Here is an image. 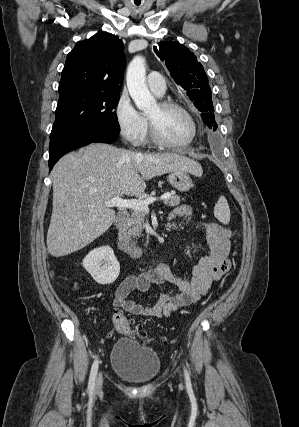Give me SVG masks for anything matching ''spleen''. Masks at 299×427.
Wrapping results in <instances>:
<instances>
[{
    "mask_svg": "<svg viewBox=\"0 0 299 427\" xmlns=\"http://www.w3.org/2000/svg\"><path fill=\"white\" fill-rule=\"evenodd\" d=\"M215 217L224 225L230 222V209L224 196H220L214 207Z\"/></svg>",
    "mask_w": 299,
    "mask_h": 427,
    "instance_id": "1",
    "label": "spleen"
}]
</instances>
